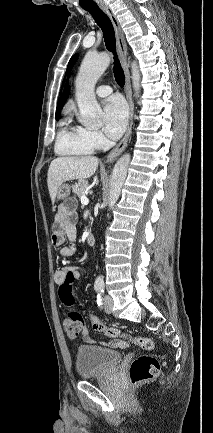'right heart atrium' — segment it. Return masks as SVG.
Returning a JSON list of instances; mask_svg holds the SVG:
<instances>
[{
	"label": "right heart atrium",
	"instance_id": "obj_1",
	"mask_svg": "<svg viewBox=\"0 0 213 433\" xmlns=\"http://www.w3.org/2000/svg\"><path fill=\"white\" fill-rule=\"evenodd\" d=\"M88 133L95 147H101L104 145L105 139L99 131L88 130Z\"/></svg>",
	"mask_w": 213,
	"mask_h": 433
}]
</instances>
